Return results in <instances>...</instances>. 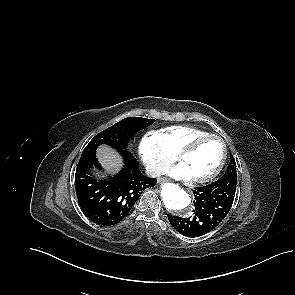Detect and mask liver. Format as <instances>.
<instances>
[{"mask_svg":"<svg viewBox=\"0 0 295 295\" xmlns=\"http://www.w3.org/2000/svg\"><path fill=\"white\" fill-rule=\"evenodd\" d=\"M97 157L102 166L109 172H117L121 168V158L116 151L106 145L97 149Z\"/></svg>","mask_w":295,"mask_h":295,"instance_id":"6515ba94","label":"liver"}]
</instances>
